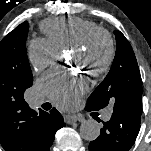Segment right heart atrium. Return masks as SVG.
<instances>
[{
  "label": "right heart atrium",
  "instance_id": "obj_1",
  "mask_svg": "<svg viewBox=\"0 0 151 151\" xmlns=\"http://www.w3.org/2000/svg\"><path fill=\"white\" fill-rule=\"evenodd\" d=\"M27 57L35 71L52 66L60 57V50L47 38L36 37L27 45Z\"/></svg>",
  "mask_w": 151,
  "mask_h": 151
}]
</instances>
